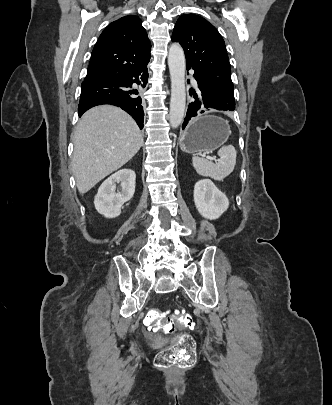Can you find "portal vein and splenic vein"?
<instances>
[{"instance_id": "portal-vein-and-splenic-vein-1", "label": "portal vein and splenic vein", "mask_w": 332, "mask_h": 405, "mask_svg": "<svg viewBox=\"0 0 332 405\" xmlns=\"http://www.w3.org/2000/svg\"><path fill=\"white\" fill-rule=\"evenodd\" d=\"M207 159H208V160H216V159L213 158V157H207Z\"/></svg>"}]
</instances>
